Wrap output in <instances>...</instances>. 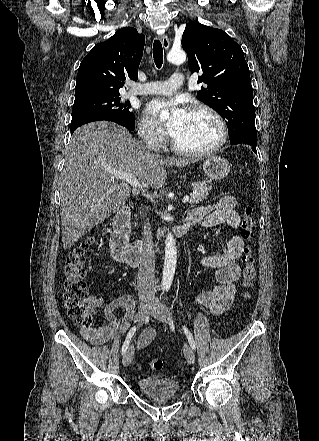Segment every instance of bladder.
I'll return each instance as SVG.
<instances>
[{
	"instance_id": "31cf9c89",
	"label": "bladder",
	"mask_w": 319,
	"mask_h": 441,
	"mask_svg": "<svg viewBox=\"0 0 319 441\" xmlns=\"http://www.w3.org/2000/svg\"><path fill=\"white\" fill-rule=\"evenodd\" d=\"M139 392L149 398L173 397L178 394L179 383L171 378L146 376L139 379Z\"/></svg>"
}]
</instances>
